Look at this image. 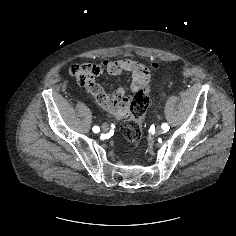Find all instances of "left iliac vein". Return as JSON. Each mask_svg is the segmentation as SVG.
Instances as JSON below:
<instances>
[{
  "label": "left iliac vein",
  "instance_id": "left-iliac-vein-1",
  "mask_svg": "<svg viewBox=\"0 0 236 236\" xmlns=\"http://www.w3.org/2000/svg\"><path fill=\"white\" fill-rule=\"evenodd\" d=\"M156 132H157L158 134H161V133L163 132V129H162L161 127H158V128L156 129Z\"/></svg>",
  "mask_w": 236,
  "mask_h": 236
}]
</instances>
